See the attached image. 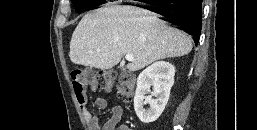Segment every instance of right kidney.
I'll return each mask as SVG.
<instances>
[{"label":"right kidney","mask_w":257,"mask_h":130,"mask_svg":"<svg viewBox=\"0 0 257 130\" xmlns=\"http://www.w3.org/2000/svg\"><path fill=\"white\" fill-rule=\"evenodd\" d=\"M174 75L175 67L165 61L155 62L140 73L137 78L134 110L141 122L149 124L162 114L174 84ZM146 104L150 105L149 109L144 108Z\"/></svg>","instance_id":"obj_1"}]
</instances>
